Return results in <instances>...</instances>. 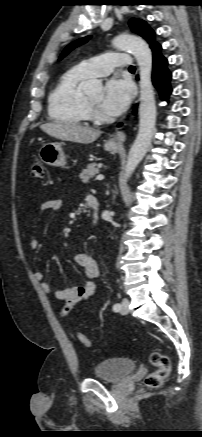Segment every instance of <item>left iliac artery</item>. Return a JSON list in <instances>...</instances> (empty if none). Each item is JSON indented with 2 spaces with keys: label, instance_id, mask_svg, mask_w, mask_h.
<instances>
[{
  "label": "left iliac artery",
  "instance_id": "1",
  "mask_svg": "<svg viewBox=\"0 0 202 437\" xmlns=\"http://www.w3.org/2000/svg\"><path fill=\"white\" fill-rule=\"evenodd\" d=\"M120 309H121V305H120L119 303L114 304V306H113V310H114L115 312L120 311Z\"/></svg>",
  "mask_w": 202,
  "mask_h": 437
}]
</instances>
